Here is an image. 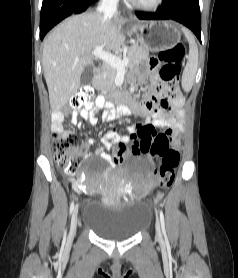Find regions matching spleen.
Here are the masks:
<instances>
[{"label":"spleen","mask_w":238,"mask_h":278,"mask_svg":"<svg viewBox=\"0 0 238 278\" xmlns=\"http://www.w3.org/2000/svg\"><path fill=\"white\" fill-rule=\"evenodd\" d=\"M182 31L189 42V55L182 74V87L185 91H190L198 68V48L191 32L184 27Z\"/></svg>","instance_id":"spleen-1"}]
</instances>
